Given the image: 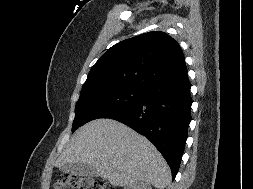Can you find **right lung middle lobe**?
Here are the masks:
<instances>
[{"label": "right lung middle lobe", "instance_id": "1", "mask_svg": "<svg viewBox=\"0 0 253 189\" xmlns=\"http://www.w3.org/2000/svg\"><path fill=\"white\" fill-rule=\"evenodd\" d=\"M146 91L124 86L102 87L81 93L72 132L87 122L106 118L139 102Z\"/></svg>", "mask_w": 253, "mask_h": 189}]
</instances>
